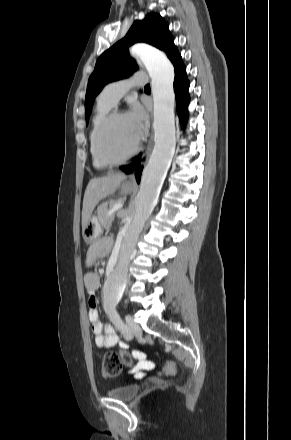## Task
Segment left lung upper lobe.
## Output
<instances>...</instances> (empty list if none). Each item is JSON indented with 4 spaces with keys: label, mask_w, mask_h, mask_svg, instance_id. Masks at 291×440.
<instances>
[{
    "label": "left lung upper lobe",
    "mask_w": 291,
    "mask_h": 440,
    "mask_svg": "<svg viewBox=\"0 0 291 440\" xmlns=\"http://www.w3.org/2000/svg\"><path fill=\"white\" fill-rule=\"evenodd\" d=\"M137 42L163 50L171 62L179 56L168 23L159 14L150 13L143 20L135 21L126 36L105 51L96 62L86 91V120L91 115L95 97L106 84L126 78L138 69L135 60L128 55V47Z\"/></svg>",
    "instance_id": "obj_1"
}]
</instances>
